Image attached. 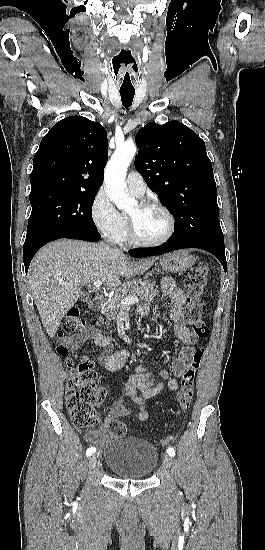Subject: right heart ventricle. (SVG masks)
Listing matches in <instances>:
<instances>
[{"label":"right heart ventricle","instance_id":"obj_1","mask_svg":"<svg viewBox=\"0 0 265 550\" xmlns=\"http://www.w3.org/2000/svg\"><path fill=\"white\" fill-rule=\"evenodd\" d=\"M122 217H123L124 222H125V231H124V234H123L122 238L120 239V241H127L129 239L127 217L125 215H122Z\"/></svg>","mask_w":265,"mask_h":550}]
</instances>
